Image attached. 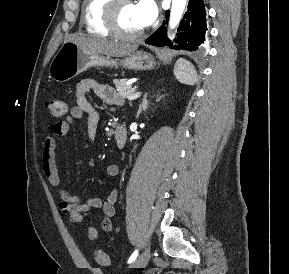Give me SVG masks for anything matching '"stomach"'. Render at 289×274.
<instances>
[{"label": "stomach", "mask_w": 289, "mask_h": 274, "mask_svg": "<svg viewBox=\"0 0 289 274\" xmlns=\"http://www.w3.org/2000/svg\"><path fill=\"white\" fill-rule=\"evenodd\" d=\"M155 65L154 57L143 51L130 53L118 60L89 52L74 42L65 41L50 63L49 76L57 82H66L91 67L151 70Z\"/></svg>", "instance_id": "1"}]
</instances>
